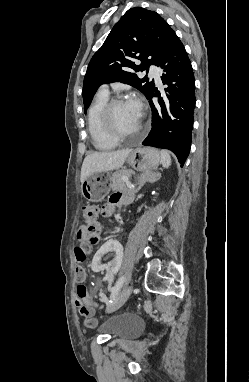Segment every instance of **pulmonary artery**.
Returning <instances> with one entry per match:
<instances>
[{
    "instance_id": "1",
    "label": "pulmonary artery",
    "mask_w": 249,
    "mask_h": 382,
    "mask_svg": "<svg viewBox=\"0 0 249 382\" xmlns=\"http://www.w3.org/2000/svg\"><path fill=\"white\" fill-rule=\"evenodd\" d=\"M150 76L155 79L158 85L162 84L160 72L156 67L151 66L150 67ZM100 92L102 93H108V89L106 86H102L100 89Z\"/></svg>"
}]
</instances>
